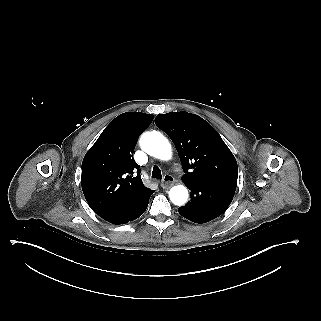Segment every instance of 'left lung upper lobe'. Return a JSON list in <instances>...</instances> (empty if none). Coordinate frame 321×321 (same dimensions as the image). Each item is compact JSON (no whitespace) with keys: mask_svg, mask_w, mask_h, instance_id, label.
I'll list each match as a JSON object with an SVG mask.
<instances>
[{"mask_svg":"<svg viewBox=\"0 0 321 321\" xmlns=\"http://www.w3.org/2000/svg\"><path fill=\"white\" fill-rule=\"evenodd\" d=\"M155 123L175 144L185 170L184 183L238 177L232 152L219 133L198 115L188 112L159 114Z\"/></svg>","mask_w":321,"mask_h":321,"instance_id":"left-lung-upper-lobe-1","label":"left lung upper lobe"}]
</instances>
